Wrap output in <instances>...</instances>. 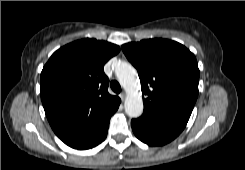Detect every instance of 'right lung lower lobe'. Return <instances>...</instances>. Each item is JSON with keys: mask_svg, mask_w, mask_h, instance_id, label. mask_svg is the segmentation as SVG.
Listing matches in <instances>:
<instances>
[{"mask_svg": "<svg viewBox=\"0 0 245 170\" xmlns=\"http://www.w3.org/2000/svg\"><path fill=\"white\" fill-rule=\"evenodd\" d=\"M111 116L98 129V131L93 136H91L89 139H87L86 141H84L83 143L77 145L74 148L75 149H79V150H84V149H89V148L95 147L98 144H100L107 136V131H108V127H109V121H110Z\"/></svg>", "mask_w": 245, "mask_h": 170, "instance_id": "obj_1", "label": "right lung lower lobe"}]
</instances>
